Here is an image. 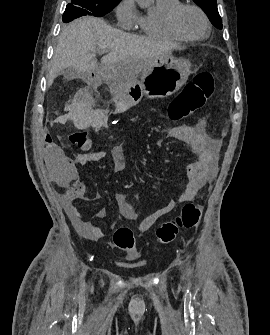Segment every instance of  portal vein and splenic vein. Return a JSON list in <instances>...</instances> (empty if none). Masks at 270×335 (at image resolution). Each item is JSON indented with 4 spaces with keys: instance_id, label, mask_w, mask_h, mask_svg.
<instances>
[{
    "instance_id": "obj_1",
    "label": "portal vein and splenic vein",
    "mask_w": 270,
    "mask_h": 335,
    "mask_svg": "<svg viewBox=\"0 0 270 335\" xmlns=\"http://www.w3.org/2000/svg\"><path fill=\"white\" fill-rule=\"evenodd\" d=\"M105 52H107V50H101L100 54H105Z\"/></svg>"
}]
</instances>
